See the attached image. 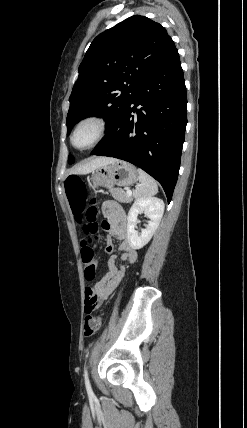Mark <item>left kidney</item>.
Wrapping results in <instances>:
<instances>
[{
  "label": "left kidney",
  "mask_w": 247,
  "mask_h": 428,
  "mask_svg": "<svg viewBox=\"0 0 247 428\" xmlns=\"http://www.w3.org/2000/svg\"><path fill=\"white\" fill-rule=\"evenodd\" d=\"M149 218L148 225L138 234L135 231L137 217L140 213ZM164 213V202L157 197L138 198L134 201L128 213L127 240L132 249L143 248L152 238Z\"/></svg>",
  "instance_id": "left-kidney-1"
}]
</instances>
